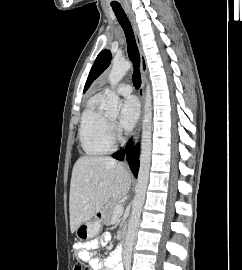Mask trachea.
I'll return each instance as SVG.
<instances>
[{
	"label": "trachea",
	"instance_id": "trachea-1",
	"mask_svg": "<svg viewBox=\"0 0 242 270\" xmlns=\"http://www.w3.org/2000/svg\"><path fill=\"white\" fill-rule=\"evenodd\" d=\"M112 8L121 27L124 30L126 41H127L128 56L134 65V72L132 75L133 85L136 88H139L141 86V76H140V71H139L140 54H139L138 47L135 41V36L133 33L132 26L123 8L120 5L112 6Z\"/></svg>",
	"mask_w": 242,
	"mask_h": 270
}]
</instances>
